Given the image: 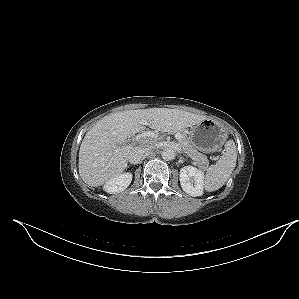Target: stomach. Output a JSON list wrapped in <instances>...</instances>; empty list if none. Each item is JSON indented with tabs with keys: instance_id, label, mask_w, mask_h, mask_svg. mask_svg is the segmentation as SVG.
<instances>
[{
	"instance_id": "1",
	"label": "stomach",
	"mask_w": 299,
	"mask_h": 299,
	"mask_svg": "<svg viewBox=\"0 0 299 299\" xmlns=\"http://www.w3.org/2000/svg\"><path fill=\"white\" fill-rule=\"evenodd\" d=\"M188 139L197 150L206 154L213 153L221 147L225 139V131L220 125L205 119L191 126Z\"/></svg>"
}]
</instances>
